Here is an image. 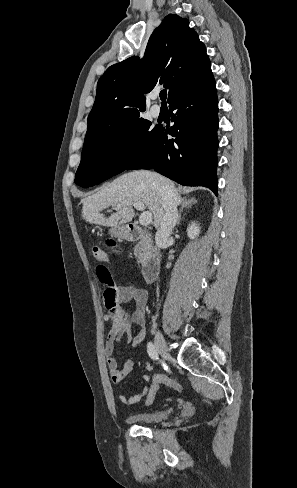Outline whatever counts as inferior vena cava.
<instances>
[{"mask_svg":"<svg viewBox=\"0 0 297 488\" xmlns=\"http://www.w3.org/2000/svg\"><path fill=\"white\" fill-rule=\"evenodd\" d=\"M160 192L163 200V215L155 240L157 247L163 248L168 242L172 229L177 222L178 212L176 197L169 186L163 185Z\"/></svg>","mask_w":297,"mask_h":488,"instance_id":"obj_1","label":"inferior vena cava"}]
</instances>
